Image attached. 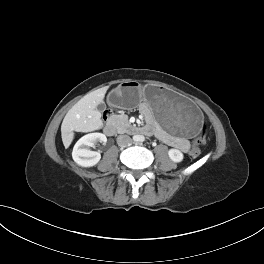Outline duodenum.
<instances>
[{"instance_id":"obj_1","label":"duodenum","mask_w":264,"mask_h":264,"mask_svg":"<svg viewBox=\"0 0 264 264\" xmlns=\"http://www.w3.org/2000/svg\"><path fill=\"white\" fill-rule=\"evenodd\" d=\"M104 132L108 136H113L117 133V126L115 125L114 121L109 119L104 125ZM125 132L130 134H144L148 133L149 129L146 127H137V126H128L125 128Z\"/></svg>"}]
</instances>
